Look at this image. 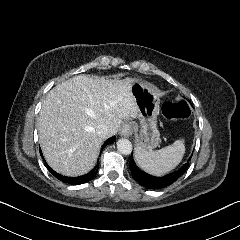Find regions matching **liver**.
<instances>
[{
  "mask_svg": "<svg viewBox=\"0 0 240 240\" xmlns=\"http://www.w3.org/2000/svg\"><path fill=\"white\" fill-rule=\"evenodd\" d=\"M123 79L74 76L50 90L39 112V143L47 164L57 173L78 177L95 166L104 141L99 124L110 126L114 136L123 119L138 113L130 86Z\"/></svg>",
  "mask_w": 240,
  "mask_h": 240,
  "instance_id": "6515ba94",
  "label": "liver"
}]
</instances>
